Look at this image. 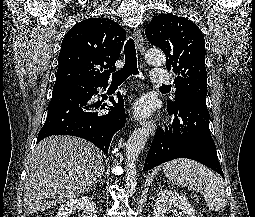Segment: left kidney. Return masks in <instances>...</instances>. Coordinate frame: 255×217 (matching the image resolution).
Instances as JSON below:
<instances>
[{"mask_svg":"<svg viewBox=\"0 0 255 217\" xmlns=\"http://www.w3.org/2000/svg\"><path fill=\"white\" fill-rule=\"evenodd\" d=\"M172 208H178L182 217H195V211L189 200L172 190H162L154 204V217H166Z\"/></svg>","mask_w":255,"mask_h":217,"instance_id":"left-kidney-1","label":"left kidney"}]
</instances>
